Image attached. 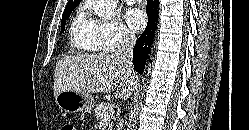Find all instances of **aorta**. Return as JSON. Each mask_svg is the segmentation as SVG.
Masks as SVG:
<instances>
[{
  "mask_svg": "<svg viewBox=\"0 0 249 130\" xmlns=\"http://www.w3.org/2000/svg\"><path fill=\"white\" fill-rule=\"evenodd\" d=\"M117 3V0H96L93 9L100 18L110 20L115 16Z\"/></svg>",
  "mask_w": 249,
  "mask_h": 130,
  "instance_id": "aorta-1",
  "label": "aorta"
}]
</instances>
